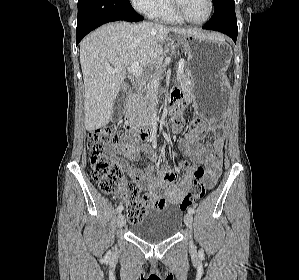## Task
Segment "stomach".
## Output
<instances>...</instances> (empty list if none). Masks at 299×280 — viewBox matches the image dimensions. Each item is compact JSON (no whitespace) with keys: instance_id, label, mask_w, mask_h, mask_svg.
I'll return each mask as SVG.
<instances>
[{"instance_id":"1","label":"stomach","mask_w":299,"mask_h":280,"mask_svg":"<svg viewBox=\"0 0 299 280\" xmlns=\"http://www.w3.org/2000/svg\"><path fill=\"white\" fill-rule=\"evenodd\" d=\"M188 53L187 73L195 112L202 117H220L226 112L228 90L224 77L232 57L231 46L215 33L178 36Z\"/></svg>"}]
</instances>
